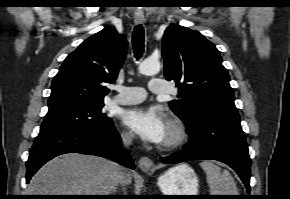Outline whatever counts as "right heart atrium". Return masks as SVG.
<instances>
[{"label": "right heart atrium", "instance_id": "right-heart-atrium-1", "mask_svg": "<svg viewBox=\"0 0 290 199\" xmlns=\"http://www.w3.org/2000/svg\"><path fill=\"white\" fill-rule=\"evenodd\" d=\"M121 137H122V140L126 143H130L133 139V135L129 131L122 132Z\"/></svg>", "mask_w": 290, "mask_h": 199}]
</instances>
